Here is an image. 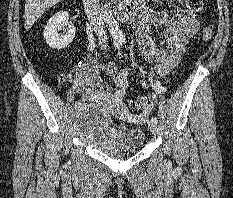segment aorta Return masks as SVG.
I'll return each instance as SVG.
<instances>
[{"label": "aorta", "mask_w": 233, "mask_h": 198, "mask_svg": "<svg viewBox=\"0 0 233 198\" xmlns=\"http://www.w3.org/2000/svg\"><path fill=\"white\" fill-rule=\"evenodd\" d=\"M102 11H103L105 22L108 26V29L110 31V34L112 35L114 42L124 41L125 36L123 32L120 30L119 25L117 21L115 20V18L113 17L111 11H109L108 8H106L105 6H104V9H102Z\"/></svg>", "instance_id": "1"}]
</instances>
